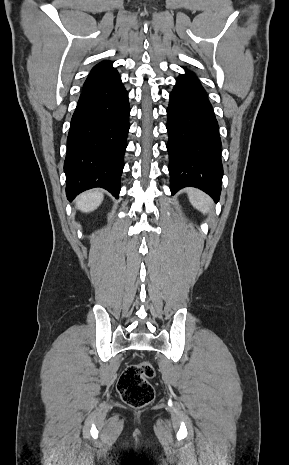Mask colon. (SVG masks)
Here are the masks:
<instances>
[{
  "instance_id": "1",
  "label": "colon",
  "mask_w": 289,
  "mask_h": 465,
  "mask_svg": "<svg viewBox=\"0 0 289 465\" xmlns=\"http://www.w3.org/2000/svg\"><path fill=\"white\" fill-rule=\"evenodd\" d=\"M154 374V367L148 361L126 367L117 384L122 400L133 408L148 405L154 398V389L149 381Z\"/></svg>"
}]
</instances>
